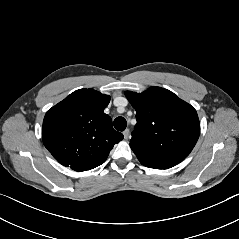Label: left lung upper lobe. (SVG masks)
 I'll list each match as a JSON object with an SVG mask.
<instances>
[{
	"mask_svg": "<svg viewBox=\"0 0 239 239\" xmlns=\"http://www.w3.org/2000/svg\"><path fill=\"white\" fill-rule=\"evenodd\" d=\"M136 110L131 149L142 165L168 169L183 161L200 135L196 110L171 91L150 87L142 93L126 91Z\"/></svg>",
	"mask_w": 239,
	"mask_h": 239,
	"instance_id": "1",
	"label": "left lung upper lobe"
}]
</instances>
